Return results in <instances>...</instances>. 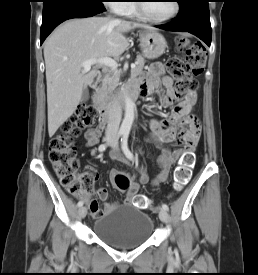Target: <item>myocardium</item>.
Returning <instances> with one entry per match:
<instances>
[{"instance_id": "1", "label": "myocardium", "mask_w": 258, "mask_h": 275, "mask_svg": "<svg viewBox=\"0 0 258 275\" xmlns=\"http://www.w3.org/2000/svg\"><path fill=\"white\" fill-rule=\"evenodd\" d=\"M139 2V1H137ZM174 3V11L171 15L167 16V17H164V18H154L152 16H150L146 9H145V6L143 3H136L135 4V7H136V10L137 12L142 16L144 17L145 19H147L148 21H151V22H154V23H163V22H167V21H170L172 20L173 18H175L179 12H180V4L177 0H174L173 1Z\"/></svg>"}]
</instances>
